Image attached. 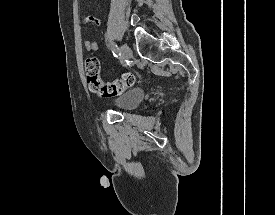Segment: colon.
Here are the masks:
<instances>
[{
  "label": "colon",
  "mask_w": 275,
  "mask_h": 215,
  "mask_svg": "<svg viewBox=\"0 0 275 215\" xmlns=\"http://www.w3.org/2000/svg\"><path fill=\"white\" fill-rule=\"evenodd\" d=\"M84 69L91 91L104 98L117 96L135 83V76L132 73H124L113 81H104L100 77L99 60L93 54L85 57Z\"/></svg>",
  "instance_id": "1"
}]
</instances>
